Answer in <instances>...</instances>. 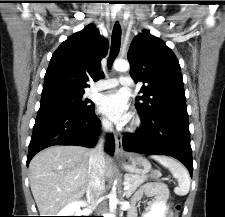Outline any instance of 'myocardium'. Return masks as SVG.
<instances>
[{
	"instance_id": "1",
	"label": "myocardium",
	"mask_w": 225,
	"mask_h": 217,
	"mask_svg": "<svg viewBox=\"0 0 225 217\" xmlns=\"http://www.w3.org/2000/svg\"><path fill=\"white\" fill-rule=\"evenodd\" d=\"M139 124V119L134 118V120L131 123V128L134 129Z\"/></svg>"
}]
</instances>
